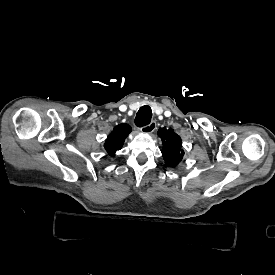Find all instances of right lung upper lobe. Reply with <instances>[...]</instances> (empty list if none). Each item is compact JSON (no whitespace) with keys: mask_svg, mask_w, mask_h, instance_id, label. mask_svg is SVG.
<instances>
[{"mask_svg":"<svg viewBox=\"0 0 275 275\" xmlns=\"http://www.w3.org/2000/svg\"><path fill=\"white\" fill-rule=\"evenodd\" d=\"M130 132L131 127L124 123L114 127L113 131L109 134L104 144L108 155L113 157L116 151L122 148L123 143Z\"/></svg>","mask_w":275,"mask_h":275,"instance_id":"1","label":"right lung upper lobe"}]
</instances>
